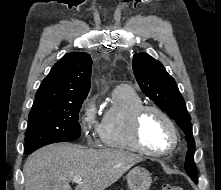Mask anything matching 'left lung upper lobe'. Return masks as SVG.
<instances>
[{"mask_svg":"<svg viewBox=\"0 0 221 190\" xmlns=\"http://www.w3.org/2000/svg\"><path fill=\"white\" fill-rule=\"evenodd\" d=\"M132 67L142 92L173 118L185 133L188 143L185 171L194 182H198L193 160L195 141L192 135L191 117L175 80L166 72L161 62L146 53L135 54Z\"/></svg>","mask_w":221,"mask_h":190,"instance_id":"5c2ea615","label":"left lung upper lobe"}]
</instances>
